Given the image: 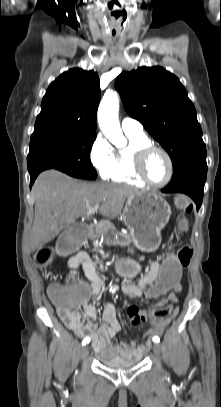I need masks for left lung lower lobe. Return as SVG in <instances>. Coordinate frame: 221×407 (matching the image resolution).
I'll return each instance as SVG.
<instances>
[{"label":"left lung lower lobe","mask_w":221,"mask_h":407,"mask_svg":"<svg viewBox=\"0 0 221 407\" xmlns=\"http://www.w3.org/2000/svg\"><path fill=\"white\" fill-rule=\"evenodd\" d=\"M207 175L206 158L193 161L186 165L177 174L173 175L171 182L161 191L164 193H184L189 195L199 210Z\"/></svg>","instance_id":"0a47b994"}]
</instances>
